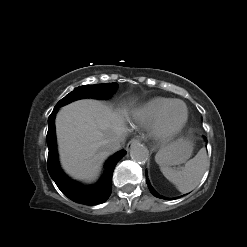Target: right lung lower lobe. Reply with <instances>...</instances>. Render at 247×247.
<instances>
[{"label": "right lung lower lobe", "mask_w": 247, "mask_h": 247, "mask_svg": "<svg viewBox=\"0 0 247 247\" xmlns=\"http://www.w3.org/2000/svg\"><path fill=\"white\" fill-rule=\"evenodd\" d=\"M56 105L48 118L47 145L48 154V172L54 180L60 191L69 199L76 203L85 205H97L106 201L112 190V173L117 162L126 154L125 150H121L114 154L106 163L104 175L99 183L93 186H83L70 178H68L61 170L58 163V155L56 149L55 138V115L59 109Z\"/></svg>", "instance_id": "98d812e1"}]
</instances>
